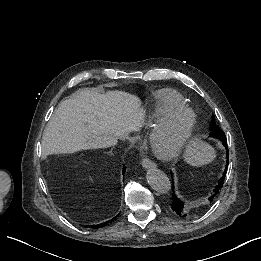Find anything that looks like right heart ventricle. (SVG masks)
Returning a JSON list of instances; mask_svg holds the SVG:
<instances>
[{"mask_svg":"<svg viewBox=\"0 0 261 261\" xmlns=\"http://www.w3.org/2000/svg\"><path fill=\"white\" fill-rule=\"evenodd\" d=\"M144 105L142 121L151 115L158 114L170 107L185 106L184 95L170 87L152 88L136 92Z\"/></svg>","mask_w":261,"mask_h":261,"instance_id":"1","label":"right heart ventricle"}]
</instances>
